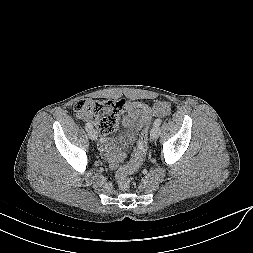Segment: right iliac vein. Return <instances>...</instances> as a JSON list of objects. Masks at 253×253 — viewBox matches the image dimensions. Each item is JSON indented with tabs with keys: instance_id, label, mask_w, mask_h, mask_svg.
I'll use <instances>...</instances> for the list:
<instances>
[{
	"instance_id": "obj_1",
	"label": "right iliac vein",
	"mask_w": 253,
	"mask_h": 253,
	"mask_svg": "<svg viewBox=\"0 0 253 253\" xmlns=\"http://www.w3.org/2000/svg\"><path fill=\"white\" fill-rule=\"evenodd\" d=\"M88 136H89V138L92 139V140H97V138H98L97 131L94 130V129H90V130L88 131Z\"/></svg>"
}]
</instances>
